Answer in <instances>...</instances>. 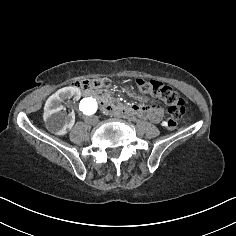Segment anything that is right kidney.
Here are the masks:
<instances>
[{
	"label": "right kidney",
	"instance_id": "1",
	"mask_svg": "<svg viewBox=\"0 0 236 236\" xmlns=\"http://www.w3.org/2000/svg\"><path fill=\"white\" fill-rule=\"evenodd\" d=\"M80 96L77 87H65L49 98L43 114L49 132L56 136H64L70 132L75 124V116L70 114Z\"/></svg>",
	"mask_w": 236,
	"mask_h": 236
}]
</instances>
